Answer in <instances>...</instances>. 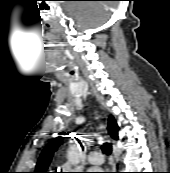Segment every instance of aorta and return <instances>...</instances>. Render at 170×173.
Wrapping results in <instances>:
<instances>
[{
  "label": "aorta",
  "mask_w": 170,
  "mask_h": 173,
  "mask_svg": "<svg viewBox=\"0 0 170 173\" xmlns=\"http://www.w3.org/2000/svg\"><path fill=\"white\" fill-rule=\"evenodd\" d=\"M81 158H82V153L78 150H71L68 153V160L74 166L79 164Z\"/></svg>",
  "instance_id": "1"
}]
</instances>
